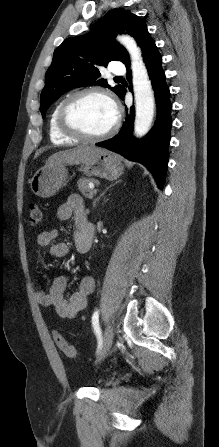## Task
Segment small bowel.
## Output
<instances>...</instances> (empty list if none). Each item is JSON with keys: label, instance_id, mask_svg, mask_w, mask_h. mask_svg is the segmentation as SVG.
Here are the masks:
<instances>
[{"label": "small bowel", "instance_id": "obj_1", "mask_svg": "<svg viewBox=\"0 0 219 447\" xmlns=\"http://www.w3.org/2000/svg\"><path fill=\"white\" fill-rule=\"evenodd\" d=\"M57 218L61 221L73 218L76 228L74 246L78 252H81L84 241L82 222L85 218L82 196L78 194L70 195L68 200L59 206ZM58 235L59 232L56 229L46 230L37 236L36 242L40 248H49L52 257L64 258L69 253V245L66 242H56ZM69 280V275H61L56 277L48 288H37L35 297L38 304L44 308H53L62 318L71 319L76 317L88 304V297L94 290V280L90 276L82 278L78 290L66 297Z\"/></svg>", "mask_w": 219, "mask_h": 447}]
</instances>
